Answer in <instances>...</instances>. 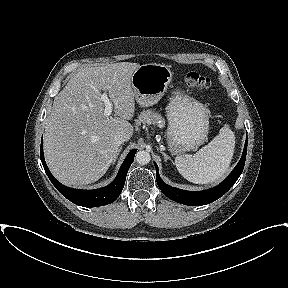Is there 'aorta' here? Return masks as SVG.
<instances>
[{"mask_svg": "<svg viewBox=\"0 0 288 288\" xmlns=\"http://www.w3.org/2000/svg\"><path fill=\"white\" fill-rule=\"evenodd\" d=\"M135 160L140 165H146L150 162L151 156L147 151H138L135 155Z\"/></svg>", "mask_w": 288, "mask_h": 288, "instance_id": "aorta-1", "label": "aorta"}]
</instances>
